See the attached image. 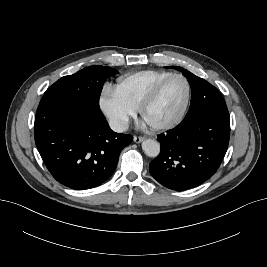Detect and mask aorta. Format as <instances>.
<instances>
[{"label": "aorta", "mask_w": 267, "mask_h": 267, "mask_svg": "<svg viewBox=\"0 0 267 267\" xmlns=\"http://www.w3.org/2000/svg\"><path fill=\"white\" fill-rule=\"evenodd\" d=\"M142 149L149 157H157L160 153V144L154 139H146L142 142Z\"/></svg>", "instance_id": "aorta-1"}]
</instances>
